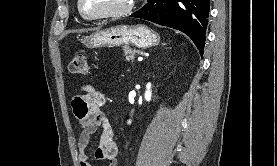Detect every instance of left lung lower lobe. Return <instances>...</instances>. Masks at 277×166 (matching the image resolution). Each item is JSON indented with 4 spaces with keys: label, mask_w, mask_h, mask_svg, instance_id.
Here are the masks:
<instances>
[{
    "label": "left lung lower lobe",
    "mask_w": 277,
    "mask_h": 166,
    "mask_svg": "<svg viewBox=\"0 0 277 166\" xmlns=\"http://www.w3.org/2000/svg\"><path fill=\"white\" fill-rule=\"evenodd\" d=\"M209 9L210 0H148V3L131 17L184 32L202 54Z\"/></svg>",
    "instance_id": "1"
}]
</instances>
